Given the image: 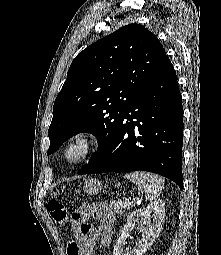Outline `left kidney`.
<instances>
[{
	"label": "left kidney",
	"instance_id": "1",
	"mask_svg": "<svg viewBox=\"0 0 221 255\" xmlns=\"http://www.w3.org/2000/svg\"><path fill=\"white\" fill-rule=\"evenodd\" d=\"M164 206L162 200H157L142 209L133 211L121 230V236L116 242L113 255H143L159 236L165 216ZM135 222L139 223L142 238L133 248L125 249L126 239Z\"/></svg>",
	"mask_w": 221,
	"mask_h": 255
}]
</instances>
